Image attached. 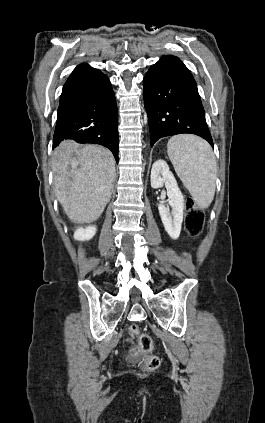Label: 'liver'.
I'll list each match as a JSON object with an SVG mask.
<instances>
[{"label":"liver","instance_id":"obj_1","mask_svg":"<svg viewBox=\"0 0 265 423\" xmlns=\"http://www.w3.org/2000/svg\"><path fill=\"white\" fill-rule=\"evenodd\" d=\"M52 169L57 198L74 223H92L111 198L115 179L112 153L99 145L67 140L53 152Z\"/></svg>","mask_w":265,"mask_h":423}]
</instances>
